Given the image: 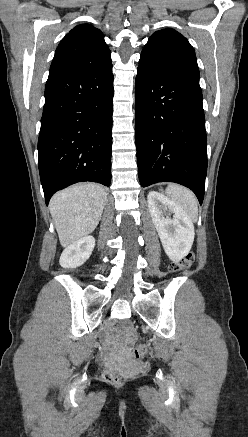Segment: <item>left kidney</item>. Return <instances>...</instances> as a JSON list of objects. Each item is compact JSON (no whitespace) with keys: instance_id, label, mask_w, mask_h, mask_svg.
<instances>
[{"instance_id":"left-kidney-1","label":"left kidney","mask_w":248,"mask_h":437,"mask_svg":"<svg viewBox=\"0 0 248 437\" xmlns=\"http://www.w3.org/2000/svg\"><path fill=\"white\" fill-rule=\"evenodd\" d=\"M147 201L165 253L173 262H179L189 253L194 241L192 220L180 206L159 192H149Z\"/></svg>"}]
</instances>
